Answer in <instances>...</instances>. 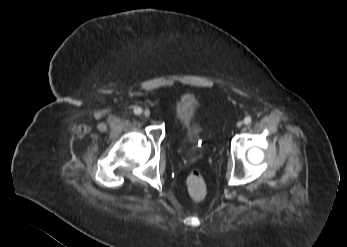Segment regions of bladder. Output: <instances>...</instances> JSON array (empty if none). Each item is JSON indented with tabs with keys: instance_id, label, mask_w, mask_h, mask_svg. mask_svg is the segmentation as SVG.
Listing matches in <instances>:
<instances>
[{
	"instance_id": "obj_1",
	"label": "bladder",
	"mask_w": 347,
	"mask_h": 247,
	"mask_svg": "<svg viewBox=\"0 0 347 247\" xmlns=\"http://www.w3.org/2000/svg\"><path fill=\"white\" fill-rule=\"evenodd\" d=\"M178 119L183 127V144H193L197 139V123L195 105L188 96H183L177 105Z\"/></svg>"
}]
</instances>
